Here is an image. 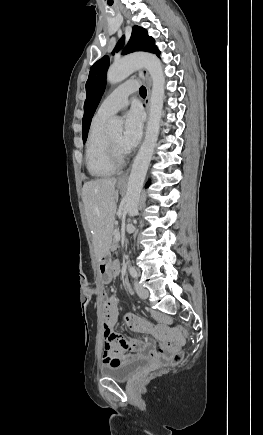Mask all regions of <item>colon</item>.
Wrapping results in <instances>:
<instances>
[{
    "label": "colon",
    "instance_id": "5ec220e1",
    "mask_svg": "<svg viewBox=\"0 0 263 435\" xmlns=\"http://www.w3.org/2000/svg\"><path fill=\"white\" fill-rule=\"evenodd\" d=\"M101 295L103 297L105 296L103 291H101ZM105 302H104V304H105ZM104 304H103V306H104ZM172 327L174 329H178L182 333L183 339H188L189 336L187 334L188 332L186 330V327H183L181 324L180 325L179 324H174ZM102 335H103V341L101 343L102 350H111L113 341L115 339V330H114V328H104L102 330ZM180 358H181V356L179 354H176V355H174L173 360L175 362H177V361L180 360Z\"/></svg>",
    "mask_w": 263,
    "mask_h": 435
}]
</instances>
